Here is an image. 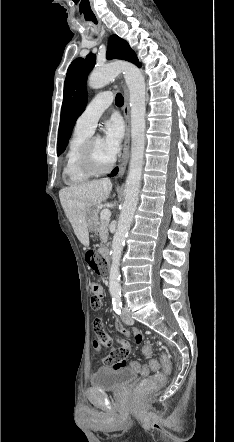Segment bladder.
<instances>
[{
  "label": "bladder",
  "instance_id": "1",
  "mask_svg": "<svg viewBox=\"0 0 234 442\" xmlns=\"http://www.w3.org/2000/svg\"><path fill=\"white\" fill-rule=\"evenodd\" d=\"M136 376L137 372L131 367L103 366L90 376V384L102 390H118L131 383Z\"/></svg>",
  "mask_w": 234,
  "mask_h": 442
}]
</instances>
